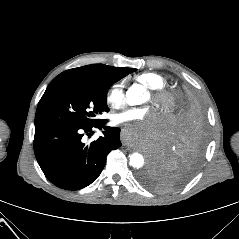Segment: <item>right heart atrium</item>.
Wrapping results in <instances>:
<instances>
[{
  "instance_id": "1",
  "label": "right heart atrium",
  "mask_w": 239,
  "mask_h": 239,
  "mask_svg": "<svg viewBox=\"0 0 239 239\" xmlns=\"http://www.w3.org/2000/svg\"><path fill=\"white\" fill-rule=\"evenodd\" d=\"M107 104L113 108H120L125 102V84L123 81L113 83L106 92Z\"/></svg>"
}]
</instances>
